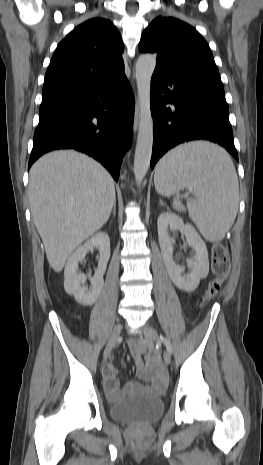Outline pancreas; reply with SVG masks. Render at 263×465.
Segmentation results:
<instances>
[{"label":"pancreas","instance_id":"cf45deb5","mask_svg":"<svg viewBox=\"0 0 263 465\" xmlns=\"http://www.w3.org/2000/svg\"><path fill=\"white\" fill-rule=\"evenodd\" d=\"M176 210L179 211V212H184L185 211V208L182 204H180L179 202L177 203V205L175 206Z\"/></svg>","mask_w":263,"mask_h":465}]
</instances>
